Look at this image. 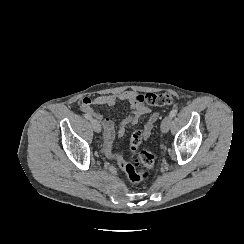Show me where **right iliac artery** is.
I'll return each mask as SVG.
<instances>
[{"label":"right iliac artery","instance_id":"1","mask_svg":"<svg viewBox=\"0 0 244 244\" xmlns=\"http://www.w3.org/2000/svg\"><path fill=\"white\" fill-rule=\"evenodd\" d=\"M84 117L88 120H91L92 119V116L89 114V113H85L84 114Z\"/></svg>","mask_w":244,"mask_h":244}]
</instances>
